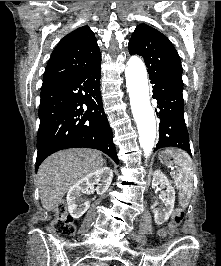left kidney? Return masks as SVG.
Returning <instances> with one entry per match:
<instances>
[{
    "mask_svg": "<svg viewBox=\"0 0 221 266\" xmlns=\"http://www.w3.org/2000/svg\"><path fill=\"white\" fill-rule=\"evenodd\" d=\"M158 185L167 186L166 192L162 193V199H165L164 208L162 209V213L155 214L154 219L156 224L160 225L167 221L174 209L175 203V190L171 186L168 178L165 174L160 171L156 170L153 175L152 186L157 187Z\"/></svg>",
    "mask_w": 221,
    "mask_h": 266,
    "instance_id": "1",
    "label": "left kidney"
}]
</instances>
